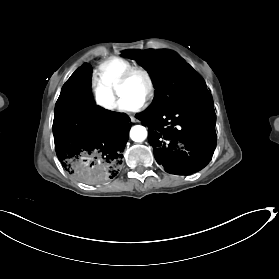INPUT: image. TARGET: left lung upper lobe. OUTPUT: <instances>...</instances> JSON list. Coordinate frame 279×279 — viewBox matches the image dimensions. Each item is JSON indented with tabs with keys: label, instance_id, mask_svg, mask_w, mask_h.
<instances>
[{
	"label": "left lung upper lobe",
	"instance_id": "obj_1",
	"mask_svg": "<svg viewBox=\"0 0 279 279\" xmlns=\"http://www.w3.org/2000/svg\"><path fill=\"white\" fill-rule=\"evenodd\" d=\"M123 55L140 63L154 83L155 97L145 114L157 115L207 89L204 81L173 51L126 50Z\"/></svg>",
	"mask_w": 279,
	"mask_h": 279
}]
</instances>
